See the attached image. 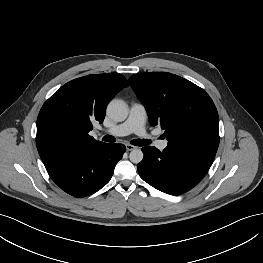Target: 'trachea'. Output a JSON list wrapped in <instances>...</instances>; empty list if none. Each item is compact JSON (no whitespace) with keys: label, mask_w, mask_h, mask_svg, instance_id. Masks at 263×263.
<instances>
[{"label":"trachea","mask_w":263,"mask_h":263,"mask_svg":"<svg viewBox=\"0 0 263 263\" xmlns=\"http://www.w3.org/2000/svg\"><path fill=\"white\" fill-rule=\"evenodd\" d=\"M103 141L105 142H115L116 139L115 137L111 136V135H105L102 138ZM150 143V141L145 140V139H135L131 141V144L135 145V146H145L148 145Z\"/></svg>","instance_id":"obj_1"}]
</instances>
